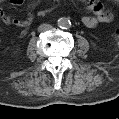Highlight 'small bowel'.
I'll return each mask as SVG.
<instances>
[{
	"label": "small bowel",
	"instance_id": "obj_1",
	"mask_svg": "<svg viewBox=\"0 0 119 119\" xmlns=\"http://www.w3.org/2000/svg\"><path fill=\"white\" fill-rule=\"evenodd\" d=\"M10 4L12 5H21L23 4V0H10ZM84 7L91 11L93 14L89 16H85L82 18L83 24L88 28H95L100 24H105L111 21L112 14L109 10L105 9L103 5L95 0H89L83 2ZM36 3H33L30 6L29 12L27 13L24 19H18L6 15L5 13L1 12L0 16L3 22L7 25H17V26H25L29 23L32 18L31 11L35 8ZM95 6H98V9H94Z\"/></svg>",
	"mask_w": 119,
	"mask_h": 119
}]
</instances>
